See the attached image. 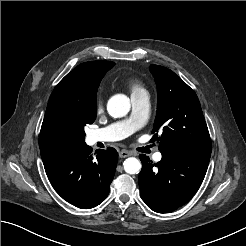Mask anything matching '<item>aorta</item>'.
<instances>
[{"instance_id":"1","label":"aorta","mask_w":246,"mask_h":246,"mask_svg":"<svg viewBox=\"0 0 246 246\" xmlns=\"http://www.w3.org/2000/svg\"><path fill=\"white\" fill-rule=\"evenodd\" d=\"M107 109L113 117H124L130 111V100L125 95H115L109 100ZM123 166L128 174H138L141 170V162L135 157L127 158Z\"/></svg>"}]
</instances>
